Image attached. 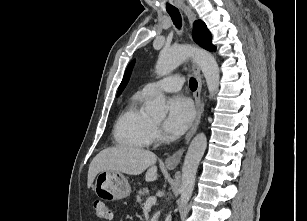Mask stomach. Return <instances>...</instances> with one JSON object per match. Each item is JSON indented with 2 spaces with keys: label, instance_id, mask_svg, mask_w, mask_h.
I'll return each mask as SVG.
<instances>
[{
  "label": "stomach",
  "instance_id": "0dacf381",
  "mask_svg": "<svg viewBox=\"0 0 307 221\" xmlns=\"http://www.w3.org/2000/svg\"><path fill=\"white\" fill-rule=\"evenodd\" d=\"M93 189L104 200H119L129 196L130 185L126 177L119 172L103 171L97 177Z\"/></svg>",
  "mask_w": 307,
  "mask_h": 221
}]
</instances>
